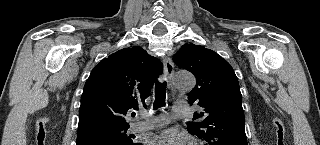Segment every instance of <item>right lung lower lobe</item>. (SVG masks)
<instances>
[{
  "mask_svg": "<svg viewBox=\"0 0 320 145\" xmlns=\"http://www.w3.org/2000/svg\"><path fill=\"white\" fill-rule=\"evenodd\" d=\"M76 145H122V144L104 136H99L94 134H85L77 137ZM137 145H141V144H137Z\"/></svg>",
  "mask_w": 320,
  "mask_h": 145,
  "instance_id": "1",
  "label": "right lung lower lobe"
}]
</instances>
